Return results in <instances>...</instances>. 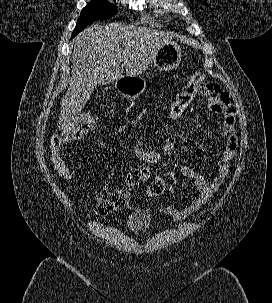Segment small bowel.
<instances>
[{
    "label": "small bowel",
    "mask_w": 272,
    "mask_h": 303,
    "mask_svg": "<svg viewBox=\"0 0 272 303\" xmlns=\"http://www.w3.org/2000/svg\"><path fill=\"white\" fill-rule=\"evenodd\" d=\"M199 93L207 98L209 111L224 118L221 134L225 139V147L221 158L217 162L216 175L211 181H206L201 174L186 165H178L181 173L192 181L198 192V196L184 207L168 206L163 209L165 213L176 219L186 218L198 211L219 190L229 173V164L236 156L237 151V118L232 97L230 94L222 91L218 85L212 83L203 84ZM134 155L138 159L148 163H159L164 160L163 153L147 148H134ZM196 155L199 158H205V154L200 149H197ZM149 178L150 171L147 168L136 166L127 171L125 182L126 185L134 187L147 181ZM165 192L172 193L173 187L167 184Z\"/></svg>",
    "instance_id": "small-bowel-1"
}]
</instances>
